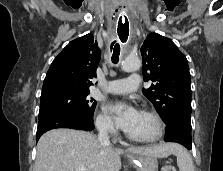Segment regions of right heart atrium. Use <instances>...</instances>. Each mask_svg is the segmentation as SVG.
I'll return each mask as SVG.
<instances>
[{
	"instance_id": "obj_1",
	"label": "right heart atrium",
	"mask_w": 223,
	"mask_h": 171,
	"mask_svg": "<svg viewBox=\"0 0 223 171\" xmlns=\"http://www.w3.org/2000/svg\"><path fill=\"white\" fill-rule=\"evenodd\" d=\"M96 127L101 133L104 134L114 135L116 133L112 120L103 112L99 113L96 117Z\"/></svg>"
}]
</instances>
